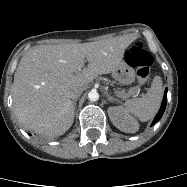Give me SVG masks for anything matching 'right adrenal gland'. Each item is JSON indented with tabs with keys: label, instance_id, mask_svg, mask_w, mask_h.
I'll use <instances>...</instances> for the list:
<instances>
[{
	"label": "right adrenal gland",
	"instance_id": "obj_1",
	"mask_svg": "<svg viewBox=\"0 0 187 187\" xmlns=\"http://www.w3.org/2000/svg\"><path fill=\"white\" fill-rule=\"evenodd\" d=\"M76 101H77V99H74V101H73L74 107H76Z\"/></svg>",
	"mask_w": 187,
	"mask_h": 187
}]
</instances>
